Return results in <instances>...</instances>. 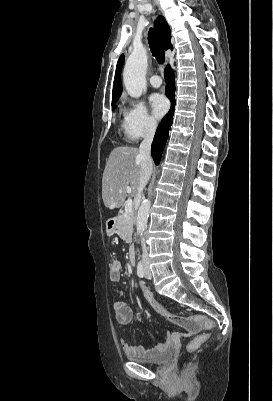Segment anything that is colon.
Wrapping results in <instances>:
<instances>
[{"label": "colon", "instance_id": "1", "mask_svg": "<svg viewBox=\"0 0 273 401\" xmlns=\"http://www.w3.org/2000/svg\"><path fill=\"white\" fill-rule=\"evenodd\" d=\"M137 292L139 293V297L147 301L150 307H154L155 313H158L162 317L168 316V319L177 324L179 328H183L185 333H199L197 337H191L188 344L185 345V352L188 356H191L192 353L201 352V347L208 340V335L203 332H205L206 328L213 330V327L216 325L213 319H204L201 314H193V319H186L179 312H171V308L167 304H162L160 299L153 294L147 283H142ZM181 372H185V369H181ZM184 378H188V375H184Z\"/></svg>", "mask_w": 273, "mask_h": 401}]
</instances>
